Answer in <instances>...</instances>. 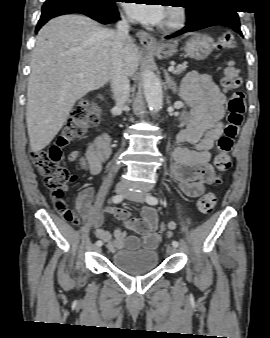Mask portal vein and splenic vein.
<instances>
[{"instance_id":"18ae733b","label":"portal vein and splenic vein","mask_w":270,"mask_h":338,"mask_svg":"<svg viewBox=\"0 0 270 338\" xmlns=\"http://www.w3.org/2000/svg\"><path fill=\"white\" fill-rule=\"evenodd\" d=\"M168 71H169V72L174 71V66H170V67L168 68ZM78 76H79V77H83V74H78Z\"/></svg>"}]
</instances>
